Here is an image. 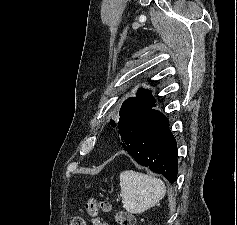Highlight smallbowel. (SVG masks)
Instances as JSON below:
<instances>
[{"mask_svg": "<svg viewBox=\"0 0 237 225\" xmlns=\"http://www.w3.org/2000/svg\"><path fill=\"white\" fill-rule=\"evenodd\" d=\"M93 225H109V224L106 223V222L95 221V222L93 223Z\"/></svg>", "mask_w": 237, "mask_h": 225, "instance_id": "obj_1", "label": "small bowel"}]
</instances>
